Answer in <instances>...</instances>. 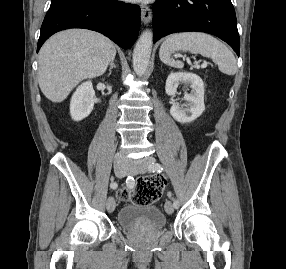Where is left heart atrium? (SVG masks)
Returning a JSON list of instances; mask_svg holds the SVG:
<instances>
[{
	"label": "left heart atrium",
	"mask_w": 286,
	"mask_h": 269,
	"mask_svg": "<svg viewBox=\"0 0 286 269\" xmlns=\"http://www.w3.org/2000/svg\"><path fill=\"white\" fill-rule=\"evenodd\" d=\"M126 1H132V2H144V1H148V0H126Z\"/></svg>",
	"instance_id": "39dd6f15"
}]
</instances>
